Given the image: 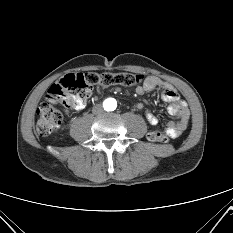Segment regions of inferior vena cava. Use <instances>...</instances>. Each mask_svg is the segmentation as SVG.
<instances>
[{
    "label": "inferior vena cava",
    "mask_w": 233,
    "mask_h": 233,
    "mask_svg": "<svg viewBox=\"0 0 233 233\" xmlns=\"http://www.w3.org/2000/svg\"><path fill=\"white\" fill-rule=\"evenodd\" d=\"M92 112H93L94 114H101V113H103V107H102V105H101V104H96V105L93 107Z\"/></svg>",
    "instance_id": "602c4592"
}]
</instances>
